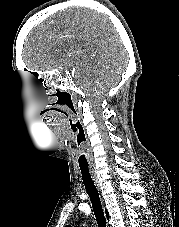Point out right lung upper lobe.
Returning a JSON list of instances; mask_svg holds the SVG:
<instances>
[{"label": "right lung upper lobe", "mask_w": 179, "mask_h": 227, "mask_svg": "<svg viewBox=\"0 0 179 227\" xmlns=\"http://www.w3.org/2000/svg\"><path fill=\"white\" fill-rule=\"evenodd\" d=\"M106 216H107V219H109V213L107 210H106ZM66 227H69V225H67Z\"/></svg>", "instance_id": "1"}]
</instances>
